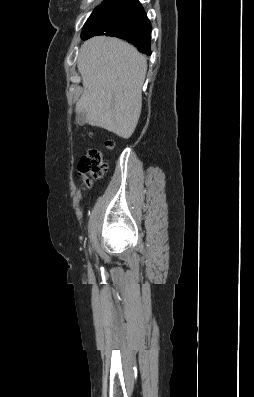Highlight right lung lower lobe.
Segmentation results:
<instances>
[{"mask_svg": "<svg viewBox=\"0 0 254 397\" xmlns=\"http://www.w3.org/2000/svg\"><path fill=\"white\" fill-rule=\"evenodd\" d=\"M82 35V40L96 35L118 37L151 55V25L138 0H105L84 25Z\"/></svg>", "mask_w": 254, "mask_h": 397, "instance_id": "right-lung-lower-lobe-1", "label": "right lung lower lobe"}]
</instances>
